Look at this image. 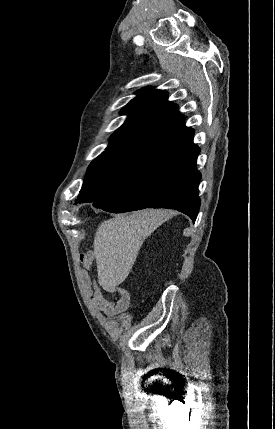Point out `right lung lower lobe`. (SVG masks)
Segmentation results:
<instances>
[{
    "label": "right lung lower lobe",
    "mask_w": 275,
    "mask_h": 429,
    "mask_svg": "<svg viewBox=\"0 0 275 429\" xmlns=\"http://www.w3.org/2000/svg\"><path fill=\"white\" fill-rule=\"evenodd\" d=\"M200 149L192 136L145 161L118 188L93 201L102 210L121 213L144 208H170L195 222L199 208L196 168Z\"/></svg>",
    "instance_id": "98d812e1"
}]
</instances>
